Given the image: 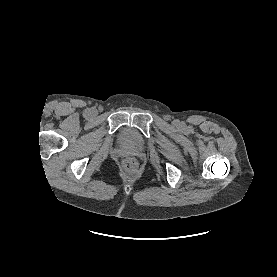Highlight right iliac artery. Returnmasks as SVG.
Instances as JSON below:
<instances>
[{
    "instance_id": "right-iliac-artery-1",
    "label": "right iliac artery",
    "mask_w": 277,
    "mask_h": 277,
    "mask_svg": "<svg viewBox=\"0 0 277 277\" xmlns=\"http://www.w3.org/2000/svg\"><path fill=\"white\" fill-rule=\"evenodd\" d=\"M89 113H90L89 110H86V111H85V114H86V115H89Z\"/></svg>"
}]
</instances>
